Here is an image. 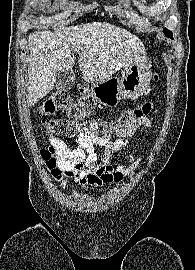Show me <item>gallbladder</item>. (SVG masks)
<instances>
[{
	"label": "gallbladder",
	"instance_id": "bac80fb5",
	"mask_svg": "<svg viewBox=\"0 0 195 270\" xmlns=\"http://www.w3.org/2000/svg\"><path fill=\"white\" fill-rule=\"evenodd\" d=\"M75 82V73L73 70L64 71L57 75L55 88L60 91H66L73 87Z\"/></svg>",
	"mask_w": 195,
	"mask_h": 270
}]
</instances>
